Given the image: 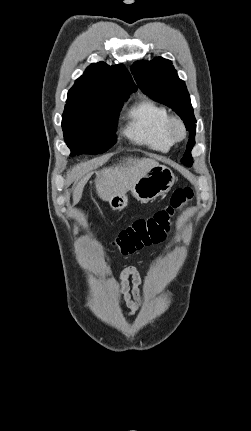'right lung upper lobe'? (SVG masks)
I'll list each match as a JSON object with an SVG mask.
<instances>
[{
    "instance_id": "cb5924a9",
    "label": "right lung upper lobe",
    "mask_w": 251,
    "mask_h": 431,
    "mask_svg": "<svg viewBox=\"0 0 251 431\" xmlns=\"http://www.w3.org/2000/svg\"><path fill=\"white\" fill-rule=\"evenodd\" d=\"M137 88L123 64L109 66L104 62L91 64L75 81L70 91L96 93L104 96L128 99Z\"/></svg>"
}]
</instances>
